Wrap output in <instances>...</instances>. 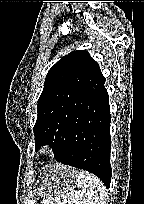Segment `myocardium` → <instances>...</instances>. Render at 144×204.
Returning <instances> with one entry per match:
<instances>
[{"mask_svg":"<svg viewBox=\"0 0 144 204\" xmlns=\"http://www.w3.org/2000/svg\"><path fill=\"white\" fill-rule=\"evenodd\" d=\"M39 154L44 158H49L54 155V147L49 143H44L39 149Z\"/></svg>","mask_w":144,"mask_h":204,"instance_id":"f54148a6","label":"myocardium"}]
</instances>
